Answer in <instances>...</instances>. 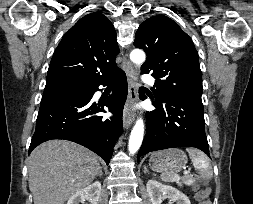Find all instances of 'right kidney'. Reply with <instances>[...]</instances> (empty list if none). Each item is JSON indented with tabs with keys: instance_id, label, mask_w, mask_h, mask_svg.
Returning <instances> with one entry per match:
<instances>
[{
	"instance_id": "1",
	"label": "right kidney",
	"mask_w": 253,
	"mask_h": 204,
	"mask_svg": "<svg viewBox=\"0 0 253 204\" xmlns=\"http://www.w3.org/2000/svg\"><path fill=\"white\" fill-rule=\"evenodd\" d=\"M100 194L101 183L96 181L72 195L66 204H83L85 200H89L91 204H97Z\"/></svg>"
}]
</instances>
